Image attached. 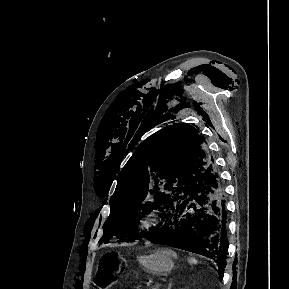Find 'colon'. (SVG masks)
Here are the masks:
<instances>
[{"label":"colon","mask_w":289,"mask_h":289,"mask_svg":"<svg viewBox=\"0 0 289 289\" xmlns=\"http://www.w3.org/2000/svg\"><path fill=\"white\" fill-rule=\"evenodd\" d=\"M124 268L118 262L114 252H106L102 255L97 274L94 279V287L108 289L118 284L124 277Z\"/></svg>","instance_id":"obj_1"}]
</instances>
